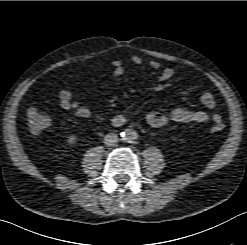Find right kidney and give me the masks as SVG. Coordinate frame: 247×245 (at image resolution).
Returning a JSON list of instances; mask_svg holds the SVG:
<instances>
[{
  "mask_svg": "<svg viewBox=\"0 0 247 245\" xmlns=\"http://www.w3.org/2000/svg\"><path fill=\"white\" fill-rule=\"evenodd\" d=\"M76 140H77V136L76 135H71L68 137V140H67V143L69 145H73L76 143Z\"/></svg>",
  "mask_w": 247,
  "mask_h": 245,
  "instance_id": "obj_1",
  "label": "right kidney"
}]
</instances>
